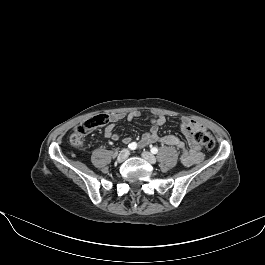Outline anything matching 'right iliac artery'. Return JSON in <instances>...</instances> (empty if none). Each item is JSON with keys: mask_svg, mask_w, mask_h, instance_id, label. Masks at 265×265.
<instances>
[{"mask_svg": "<svg viewBox=\"0 0 265 265\" xmlns=\"http://www.w3.org/2000/svg\"><path fill=\"white\" fill-rule=\"evenodd\" d=\"M128 148L130 150H135L137 148V143L136 142H132L128 145Z\"/></svg>", "mask_w": 265, "mask_h": 265, "instance_id": "obj_1", "label": "right iliac artery"}]
</instances>
